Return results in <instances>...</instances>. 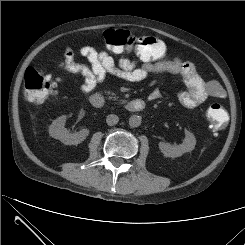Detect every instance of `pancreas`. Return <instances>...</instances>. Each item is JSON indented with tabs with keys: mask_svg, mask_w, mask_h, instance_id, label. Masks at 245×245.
Listing matches in <instances>:
<instances>
[{
	"mask_svg": "<svg viewBox=\"0 0 245 245\" xmlns=\"http://www.w3.org/2000/svg\"><path fill=\"white\" fill-rule=\"evenodd\" d=\"M105 93L108 95L109 100H117L115 93L110 92V91H106ZM122 102H124V101L122 100Z\"/></svg>",
	"mask_w": 245,
	"mask_h": 245,
	"instance_id": "cf45deb5",
	"label": "pancreas"
}]
</instances>
